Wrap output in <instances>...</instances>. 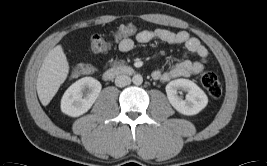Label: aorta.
<instances>
[{
    "mask_svg": "<svg viewBox=\"0 0 267 166\" xmlns=\"http://www.w3.org/2000/svg\"><path fill=\"white\" fill-rule=\"evenodd\" d=\"M132 82L135 85H141L143 82V77L140 74H136L132 77Z\"/></svg>",
    "mask_w": 267,
    "mask_h": 166,
    "instance_id": "obj_1",
    "label": "aorta"
}]
</instances>
